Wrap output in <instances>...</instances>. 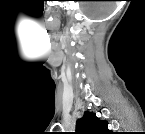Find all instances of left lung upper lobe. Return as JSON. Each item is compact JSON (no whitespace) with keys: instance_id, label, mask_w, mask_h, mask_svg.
<instances>
[{"instance_id":"obj_1","label":"left lung upper lobe","mask_w":145,"mask_h":134,"mask_svg":"<svg viewBox=\"0 0 145 134\" xmlns=\"http://www.w3.org/2000/svg\"><path fill=\"white\" fill-rule=\"evenodd\" d=\"M107 121L99 120L92 112H84L76 124V134H110Z\"/></svg>"}]
</instances>
